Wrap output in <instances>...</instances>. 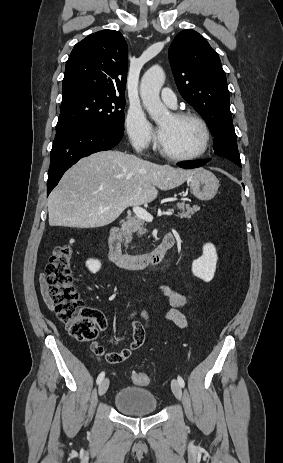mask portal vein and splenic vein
<instances>
[{
  "mask_svg": "<svg viewBox=\"0 0 283 463\" xmlns=\"http://www.w3.org/2000/svg\"><path fill=\"white\" fill-rule=\"evenodd\" d=\"M133 212L136 214V216L142 220H145L147 222H151L153 220V216L147 212L144 208L140 206H134L133 207ZM173 213L171 211H163V212H158V216L162 215H172Z\"/></svg>",
  "mask_w": 283,
  "mask_h": 463,
  "instance_id": "18ae733b",
  "label": "portal vein and splenic vein"
}]
</instances>
